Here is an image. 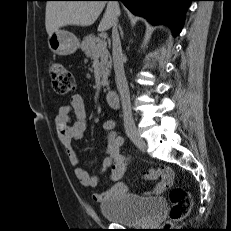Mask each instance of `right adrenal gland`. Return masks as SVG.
<instances>
[{"label": "right adrenal gland", "mask_w": 231, "mask_h": 231, "mask_svg": "<svg viewBox=\"0 0 231 231\" xmlns=\"http://www.w3.org/2000/svg\"><path fill=\"white\" fill-rule=\"evenodd\" d=\"M119 30H120L121 36H123V30L120 25H119Z\"/></svg>", "instance_id": "obj_1"}]
</instances>
